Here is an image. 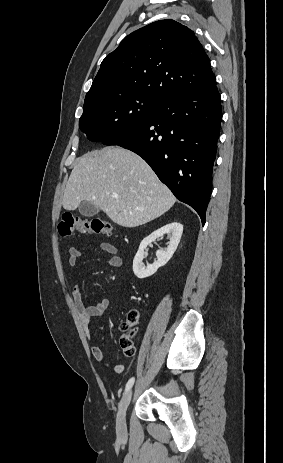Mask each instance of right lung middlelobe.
<instances>
[{"label":"right lung middle lobe","mask_w":283,"mask_h":463,"mask_svg":"<svg viewBox=\"0 0 283 463\" xmlns=\"http://www.w3.org/2000/svg\"><path fill=\"white\" fill-rule=\"evenodd\" d=\"M158 101L137 94H115L84 103L79 128L91 141L105 142L146 120Z\"/></svg>","instance_id":"dd1d6c3e"}]
</instances>
